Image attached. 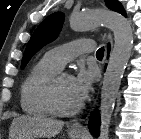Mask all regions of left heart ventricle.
<instances>
[{
	"instance_id": "left-heart-ventricle-1",
	"label": "left heart ventricle",
	"mask_w": 141,
	"mask_h": 139,
	"mask_svg": "<svg viewBox=\"0 0 141 139\" xmlns=\"http://www.w3.org/2000/svg\"><path fill=\"white\" fill-rule=\"evenodd\" d=\"M57 100L60 107L64 109L72 108L80 103L75 96L71 76H62L59 79L57 86Z\"/></svg>"
}]
</instances>
